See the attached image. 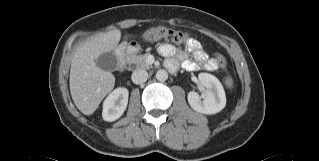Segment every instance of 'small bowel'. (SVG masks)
<instances>
[{
  "label": "small bowel",
  "instance_id": "c3829d8e",
  "mask_svg": "<svg viewBox=\"0 0 319 161\" xmlns=\"http://www.w3.org/2000/svg\"><path fill=\"white\" fill-rule=\"evenodd\" d=\"M158 51L162 56L170 58L166 63L168 68L174 70L178 67V61L171 58L177 52L173 45L167 43L162 44L159 46ZM188 52L193 54L194 61L189 60ZM178 60L182 62L183 67L188 71H195L198 69L214 70L210 67L212 60H208L207 53L202 48L201 44L194 39L188 40L186 43V51H178Z\"/></svg>",
  "mask_w": 319,
  "mask_h": 161
}]
</instances>
